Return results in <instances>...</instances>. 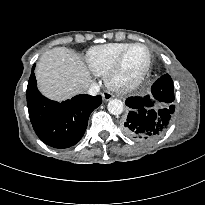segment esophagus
<instances>
[{
    "label": "esophagus",
    "instance_id": "obj_1",
    "mask_svg": "<svg viewBox=\"0 0 205 205\" xmlns=\"http://www.w3.org/2000/svg\"><path fill=\"white\" fill-rule=\"evenodd\" d=\"M103 100L109 101L112 98V94L109 91H104L102 93Z\"/></svg>",
    "mask_w": 205,
    "mask_h": 205
}]
</instances>
